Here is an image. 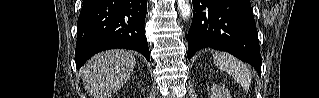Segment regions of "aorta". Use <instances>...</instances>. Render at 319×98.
I'll list each match as a JSON object with an SVG mask.
<instances>
[{"mask_svg":"<svg viewBox=\"0 0 319 98\" xmlns=\"http://www.w3.org/2000/svg\"><path fill=\"white\" fill-rule=\"evenodd\" d=\"M178 8L182 18L188 19L191 15V6L189 0H177Z\"/></svg>","mask_w":319,"mask_h":98,"instance_id":"762f6f07","label":"aorta"}]
</instances>
